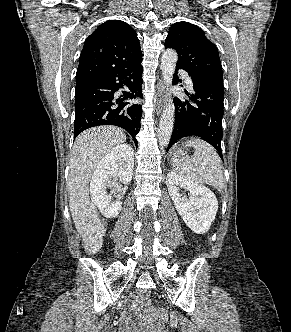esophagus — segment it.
Here are the masks:
<instances>
[{"label": "esophagus", "instance_id": "obj_1", "mask_svg": "<svg viewBox=\"0 0 291 332\" xmlns=\"http://www.w3.org/2000/svg\"><path fill=\"white\" fill-rule=\"evenodd\" d=\"M164 82L163 80H159L157 84V99H156V111L157 114L159 115L162 107H163V102H164Z\"/></svg>", "mask_w": 291, "mask_h": 332}]
</instances>
